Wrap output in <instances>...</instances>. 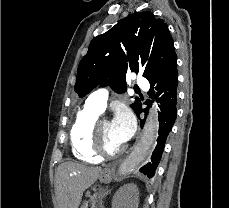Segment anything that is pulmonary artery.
Listing matches in <instances>:
<instances>
[{"instance_id": "pulmonary-artery-1", "label": "pulmonary artery", "mask_w": 229, "mask_h": 208, "mask_svg": "<svg viewBox=\"0 0 229 208\" xmlns=\"http://www.w3.org/2000/svg\"><path fill=\"white\" fill-rule=\"evenodd\" d=\"M135 76H138V73H135ZM136 83H138V87L148 86L146 78H136ZM108 94L109 91L107 88H100L93 91L86 99L85 106L99 114L103 113L106 108Z\"/></svg>"}]
</instances>
